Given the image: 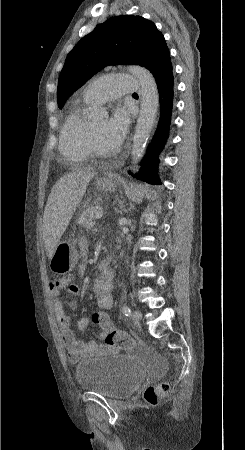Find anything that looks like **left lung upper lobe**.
<instances>
[{
	"mask_svg": "<svg viewBox=\"0 0 245 450\" xmlns=\"http://www.w3.org/2000/svg\"><path fill=\"white\" fill-rule=\"evenodd\" d=\"M170 60L164 36L141 16H117L99 24L69 52L58 80L57 101L67 98L107 65L139 64L152 74Z\"/></svg>",
	"mask_w": 245,
	"mask_h": 450,
	"instance_id": "1",
	"label": "left lung upper lobe"
}]
</instances>
